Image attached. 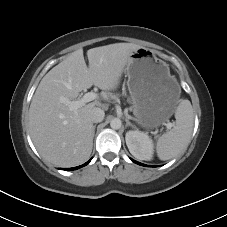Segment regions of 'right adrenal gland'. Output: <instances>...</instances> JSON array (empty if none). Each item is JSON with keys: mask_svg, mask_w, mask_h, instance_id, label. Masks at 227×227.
<instances>
[{"mask_svg": "<svg viewBox=\"0 0 227 227\" xmlns=\"http://www.w3.org/2000/svg\"><path fill=\"white\" fill-rule=\"evenodd\" d=\"M95 128H96V124L93 125V137H94V135H95Z\"/></svg>", "mask_w": 227, "mask_h": 227, "instance_id": "1", "label": "right adrenal gland"}]
</instances>
